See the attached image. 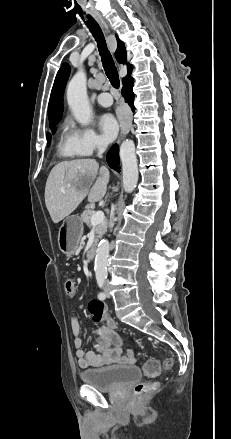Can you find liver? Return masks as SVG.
<instances>
[{
	"mask_svg": "<svg viewBox=\"0 0 231 439\" xmlns=\"http://www.w3.org/2000/svg\"><path fill=\"white\" fill-rule=\"evenodd\" d=\"M109 177V170L105 166L99 168L94 159L63 161L55 165L45 187V204L52 221L57 224L69 216L87 196L90 203L102 200Z\"/></svg>",
	"mask_w": 231,
	"mask_h": 439,
	"instance_id": "1",
	"label": "liver"
}]
</instances>
